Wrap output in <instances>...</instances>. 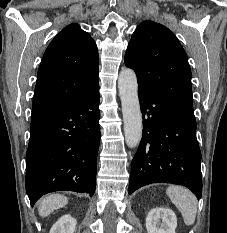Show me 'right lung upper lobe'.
Listing matches in <instances>:
<instances>
[{
	"mask_svg": "<svg viewBox=\"0 0 227 233\" xmlns=\"http://www.w3.org/2000/svg\"><path fill=\"white\" fill-rule=\"evenodd\" d=\"M98 51L78 24L59 32L47 47L37 74L32 120L85 95L98 86Z\"/></svg>",
	"mask_w": 227,
	"mask_h": 233,
	"instance_id": "1",
	"label": "right lung upper lobe"
}]
</instances>
